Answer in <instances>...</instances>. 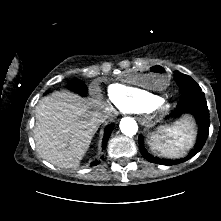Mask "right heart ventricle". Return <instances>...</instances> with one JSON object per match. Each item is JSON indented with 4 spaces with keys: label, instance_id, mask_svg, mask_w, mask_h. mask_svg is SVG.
Masks as SVG:
<instances>
[{
    "label": "right heart ventricle",
    "instance_id": "right-heart-ventricle-1",
    "mask_svg": "<svg viewBox=\"0 0 221 221\" xmlns=\"http://www.w3.org/2000/svg\"><path fill=\"white\" fill-rule=\"evenodd\" d=\"M108 96L115 107L123 113H141L153 107L161 97L136 86L112 84Z\"/></svg>",
    "mask_w": 221,
    "mask_h": 221
}]
</instances>
